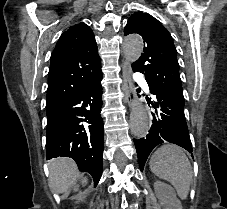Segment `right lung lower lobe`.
Masks as SVG:
<instances>
[{"instance_id": "98d812e1", "label": "right lung lower lobe", "mask_w": 227, "mask_h": 209, "mask_svg": "<svg viewBox=\"0 0 227 209\" xmlns=\"http://www.w3.org/2000/svg\"><path fill=\"white\" fill-rule=\"evenodd\" d=\"M86 71L85 68L78 70L80 73ZM101 80L102 71L46 111V159L59 156L73 158L80 171L92 175L95 186L102 175L103 159Z\"/></svg>"}]
</instances>
